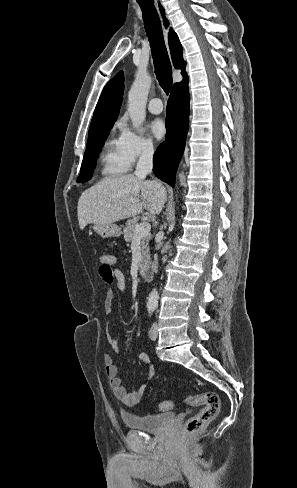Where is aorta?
<instances>
[{
    "label": "aorta",
    "instance_id": "obj_1",
    "mask_svg": "<svg viewBox=\"0 0 297 488\" xmlns=\"http://www.w3.org/2000/svg\"><path fill=\"white\" fill-rule=\"evenodd\" d=\"M152 79L144 72H138L135 81L128 94V112L131 117L132 125L139 130L146 119V103L151 87ZM158 292L156 289L148 296V306L158 305Z\"/></svg>",
    "mask_w": 297,
    "mask_h": 488
}]
</instances>
